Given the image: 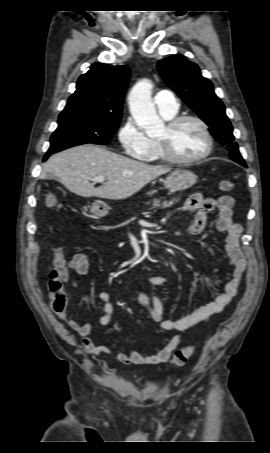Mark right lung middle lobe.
I'll list each match as a JSON object with an SVG mask.
<instances>
[{
  "label": "right lung middle lobe",
  "instance_id": "right-lung-middle-lobe-1",
  "mask_svg": "<svg viewBox=\"0 0 270 453\" xmlns=\"http://www.w3.org/2000/svg\"><path fill=\"white\" fill-rule=\"evenodd\" d=\"M120 119L97 113L61 116L58 128L51 136V146L47 153L52 154L85 143L107 145L119 127Z\"/></svg>",
  "mask_w": 270,
  "mask_h": 453
}]
</instances>
